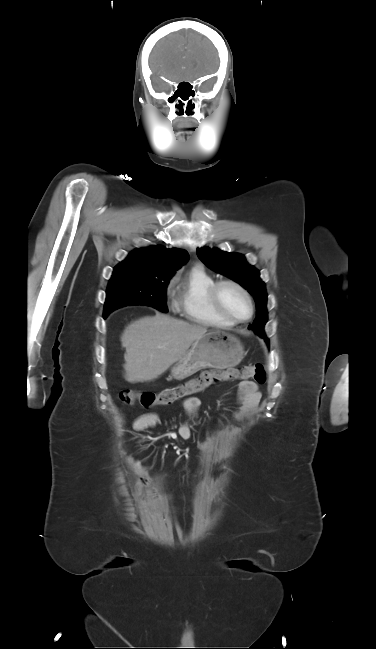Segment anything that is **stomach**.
Wrapping results in <instances>:
<instances>
[{"label": "stomach", "mask_w": 376, "mask_h": 649, "mask_svg": "<svg viewBox=\"0 0 376 649\" xmlns=\"http://www.w3.org/2000/svg\"><path fill=\"white\" fill-rule=\"evenodd\" d=\"M240 340L223 331H210L195 340L190 350L172 367L176 380H183L205 368L228 369L238 365L244 358Z\"/></svg>", "instance_id": "1"}]
</instances>
